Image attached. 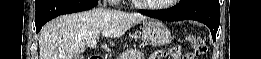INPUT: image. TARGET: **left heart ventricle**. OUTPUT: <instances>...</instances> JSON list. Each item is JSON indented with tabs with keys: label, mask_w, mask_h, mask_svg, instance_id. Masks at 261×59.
Here are the masks:
<instances>
[{
	"label": "left heart ventricle",
	"mask_w": 261,
	"mask_h": 59,
	"mask_svg": "<svg viewBox=\"0 0 261 59\" xmlns=\"http://www.w3.org/2000/svg\"><path fill=\"white\" fill-rule=\"evenodd\" d=\"M143 2H145V3H153V4H160V3H167L168 2V0H149V1H143Z\"/></svg>",
	"instance_id": "1"
}]
</instances>
